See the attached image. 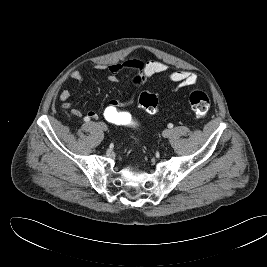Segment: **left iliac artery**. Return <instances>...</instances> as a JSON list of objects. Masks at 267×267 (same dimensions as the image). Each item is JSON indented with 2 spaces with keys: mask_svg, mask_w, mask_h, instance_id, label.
Here are the masks:
<instances>
[{
  "mask_svg": "<svg viewBox=\"0 0 267 267\" xmlns=\"http://www.w3.org/2000/svg\"><path fill=\"white\" fill-rule=\"evenodd\" d=\"M168 127H169V128H172V127H173V124L169 123V124H168Z\"/></svg>",
  "mask_w": 267,
  "mask_h": 267,
  "instance_id": "left-iliac-artery-1",
  "label": "left iliac artery"
}]
</instances>
